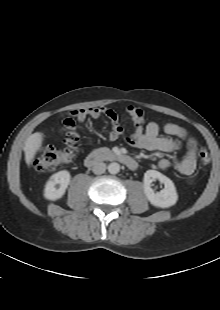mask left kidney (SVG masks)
Listing matches in <instances>:
<instances>
[{
    "mask_svg": "<svg viewBox=\"0 0 220 310\" xmlns=\"http://www.w3.org/2000/svg\"><path fill=\"white\" fill-rule=\"evenodd\" d=\"M156 179L164 184V189L155 193L151 185ZM143 188L147 199L153 206L169 208L175 205L178 200L177 191L172 180L156 170H148L145 172Z\"/></svg>",
    "mask_w": 220,
    "mask_h": 310,
    "instance_id": "5707ae66",
    "label": "left kidney"
}]
</instances>
